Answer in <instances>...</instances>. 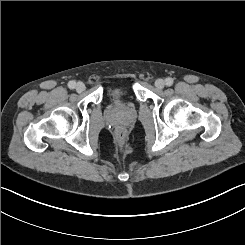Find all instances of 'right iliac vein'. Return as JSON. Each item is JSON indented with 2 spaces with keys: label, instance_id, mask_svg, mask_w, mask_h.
<instances>
[{
  "label": "right iliac vein",
  "instance_id": "63e3f726",
  "mask_svg": "<svg viewBox=\"0 0 245 245\" xmlns=\"http://www.w3.org/2000/svg\"><path fill=\"white\" fill-rule=\"evenodd\" d=\"M85 90V85L82 82H78L76 85V91L77 92H83Z\"/></svg>",
  "mask_w": 245,
  "mask_h": 245
}]
</instances>
